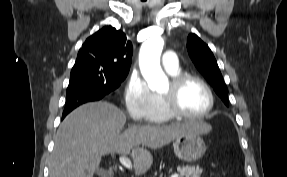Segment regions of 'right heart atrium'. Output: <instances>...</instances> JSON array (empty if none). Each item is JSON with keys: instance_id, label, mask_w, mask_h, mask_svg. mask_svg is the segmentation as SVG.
Segmentation results:
<instances>
[{"instance_id": "1", "label": "right heart atrium", "mask_w": 287, "mask_h": 177, "mask_svg": "<svg viewBox=\"0 0 287 177\" xmlns=\"http://www.w3.org/2000/svg\"><path fill=\"white\" fill-rule=\"evenodd\" d=\"M125 107L136 123L151 119L155 109V94L147 82L138 74H132L124 87Z\"/></svg>"}]
</instances>
